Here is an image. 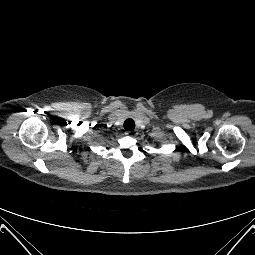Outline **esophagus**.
Instances as JSON below:
<instances>
[{
  "label": "esophagus",
  "mask_w": 255,
  "mask_h": 255,
  "mask_svg": "<svg viewBox=\"0 0 255 255\" xmlns=\"http://www.w3.org/2000/svg\"><path fill=\"white\" fill-rule=\"evenodd\" d=\"M126 135L130 136V137H135L137 135V131L133 130V131H127Z\"/></svg>",
  "instance_id": "esophagus-1"
}]
</instances>
